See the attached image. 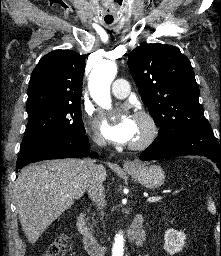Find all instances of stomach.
<instances>
[{"label": "stomach", "mask_w": 221, "mask_h": 256, "mask_svg": "<svg viewBox=\"0 0 221 256\" xmlns=\"http://www.w3.org/2000/svg\"><path fill=\"white\" fill-rule=\"evenodd\" d=\"M126 171L141 185L149 189H156L165 181V172L157 165L139 164L134 168H126Z\"/></svg>", "instance_id": "0dacf381"}]
</instances>
